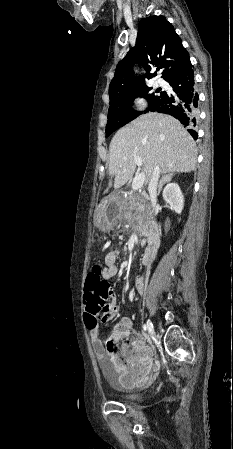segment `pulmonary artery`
<instances>
[{
    "label": "pulmonary artery",
    "instance_id": "obj_1",
    "mask_svg": "<svg viewBox=\"0 0 233 449\" xmlns=\"http://www.w3.org/2000/svg\"><path fill=\"white\" fill-rule=\"evenodd\" d=\"M155 83L157 85H164V81L162 79H159V78L155 80Z\"/></svg>",
    "mask_w": 233,
    "mask_h": 449
}]
</instances>
